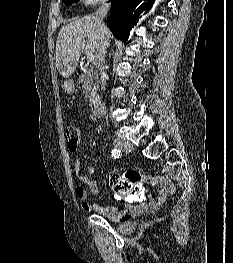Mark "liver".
<instances>
[{"mask_svg": "<svg viewBox=\"0 0 233 263\" xmlns=\"http://www.w3.org/2000/svg\"><path fill=\"white\" fill-rule=\"evenodd\" d=\"M111 36L107 29V38ZM98 28L93 16H85L60 29L56 41V66L64 77L75 70L81 54L96 56L98 49Z\"/></svg>", "mask_w": 233, "mask_h": 263, "instance_id": "obj_1", "label": "liver"}]
</instances>
